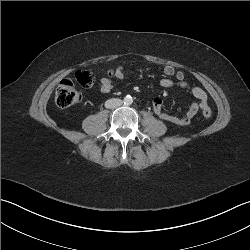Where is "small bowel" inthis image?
Here are the masks:
<instances>
[{
    "mask_svg": "<svg viewBox=\"0 0 250 250\" xmlns=\"http://www.w3.org/2000/svg\"><path fill=\"white\" fill-rule=\"evenodd\" d=\"M165 77L159 81V85L163 88L177 86L181 89L188 90L196 99L187 111L182 115H172L166 113L163 107V101L159 97H154L152 101L155 114L165 122L173 125L185 126L189 125L192 119L208 106V98L206 92L198 87L191 85L186 79L182 71L176 70L173 66L167 65L164 67ZM111 75L117 79L123 78V67L117 66L111 71ZM98 88L102 93H109L113 89V82L110 78H102L98 83Z\"/></svg>",
    "mask_w": 250,
    "mask_h": 250,
    "instance_id": "1",
    "label": "small bowel"
}]
</instances>
